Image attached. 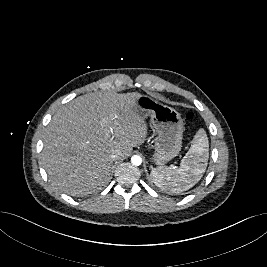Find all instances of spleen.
<instances>
[{"label": "spleen", "mask_w": 267, "mask_h": 267, "mask_svg": "<svg viewBox=\"0 0 267 267\" xmlns=\"http://www.w3.org/2000/svg\"><path fill=\"white\" fill-rule=\"evenodd\" d=\"M208 157V137L204 129H199L179 168L153 169L151 176L154 183L162 190L181 193L193 187L202 178Z\"/></svg>", "instance_id": "obj_1"}]
</instances>
